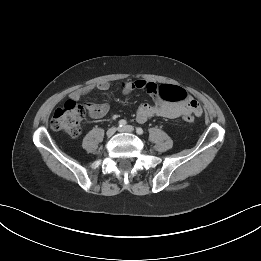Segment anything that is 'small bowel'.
Returning <instances> with one entry per match:
<instances>
[{
	"label": "small bowel",
	"mask_w": 261,
	"mask_h": 261,
	"mask_svg": "<svg viewBox=\"0 0 261 261\" xmlns=\"http://www.w3.org/2000/svg\"><path fill=\"white\" fill-rule=\"evenodd\" d=\"M110 88L111 83L109 81H101L97 84H89L85 87L76 89L69 95V98L70 100L77 102L83 96L95 89L101 92H107ZM121 89L124 94H129L136 89H142L147 91L153 97L154 102L152 104L143 103L139 105L136 111L135 119L140 124H143L150 118L156 116L176 119L184 117L186 114L199 116L202 113L200 105L191 96H188L187 99L181 103H171L163 100L160 97L158 85L151 81L144 79L124 81L121 83ZM85 108L88 111L89 116L96 119L105 116L110 110V105L108 103H86Z\"/></svg>",
	"instance_id": "1"
}]
</instances>
